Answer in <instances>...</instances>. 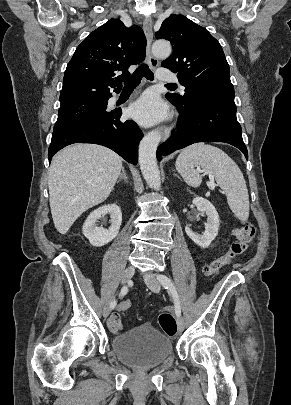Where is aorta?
I'll return each instance as SVG.
<instances>
[{"label":"aorta","instance_id":"762f6f07","mask_svg":"<svg viewBox=\"0 0 291 405\" xmlns=\"http://www.w3.org/2000/svg\"><path fill=\"white\" fill-rule=\"evenodd\" d=\"M172 51L171 45L166 40H157L152 45V52L158 58H167ZM161 140L159 130H152L146 134L139 144V165L147 184L160 190L161 179L157 165L156 150Z\"/></svg>","mask_w":291,"mask_h":405}]
</instances>
